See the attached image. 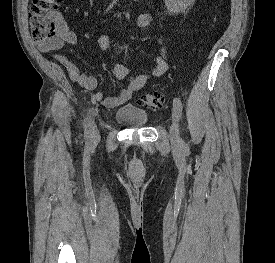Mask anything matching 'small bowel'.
I'll list each match as a JSON object with an SVG mask.
<instances>
[{"label": "small bowel", "instance_id": "obj_1", "mask_svg": "<svg viewBox=\"0 0 275 263\" xmlns=\"http://www.w3.org/2000/svg\"><path fill=\"white\" fill-rule=\"evenodd\" d=\"M59 21V30L56 38L52 41L38 45L41 51L49 52L61 49L65 44L74 45L77 42V36L70 31L62 19L57 16ZM154 17L149 13H137L134 16V22L139 28H149L153 23ZM111 44L108 34H103L98 38V46L101 50H106ZM52 57L68 72L70 79L78 84L83 90L93 91L96 89L98 82L96 78L86 75L62 54H52ZM168 70V61L163 56H157L153 60V67L150 71L143 72L137 76H130L129 70L123 64L112 60L111 74L117 81H126V86L115 96H105L101 92L94 93L92 100L100 102L106 108H117L129 101L134 93L139 91L152 79L161 78Z\"/></svg>", "mask_w": 275, "mask_h": 263}]
</instances>
